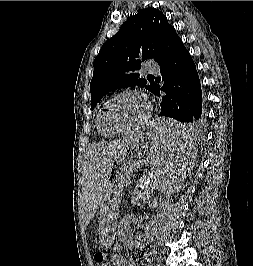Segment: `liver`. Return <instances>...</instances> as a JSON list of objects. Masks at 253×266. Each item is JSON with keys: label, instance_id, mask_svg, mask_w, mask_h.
Returning <instances> with one entry per match:
<instances>
[{"label": "liver", "instance_id": "1", "mask_svg": "<svg viewBox=\"0 0 253 266\" xmlns=\"http://www.w3.org/2000/svg\"><path fill=\"white\" fill-rule=\"evenodd\" d=\"M133 136L101 144L89 150L84 163V201L87 204L86 225L94 217L106 188V177L113 161L135 140Z\"/></svg>", "mask_w": 253, "mask_h": 266}]
</instances>
